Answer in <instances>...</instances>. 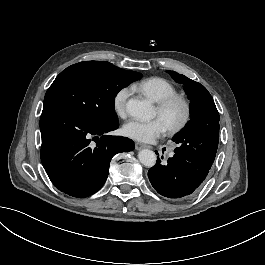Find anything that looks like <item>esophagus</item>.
<instances>
[{
	"label": "esophagus",
	"mask_w": 265,
	"mask_h": 265,
	"mask_svg": "<svg viewBox=\"0 0 265 265\" xmlns=\"http://www.w3.org/2000/svg\"><path fill=\"white\" fill-rule=\"evenodd\" d=\"M143 148H149V149H151L152 146L147 145V144H144V143H140V142L135 143V149L136 150H141Z\"/></svg>",
	"instance_id": "obj_1"
}]
</instances>
